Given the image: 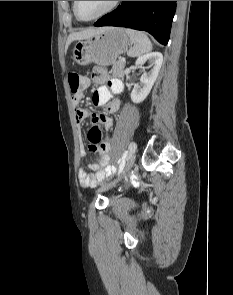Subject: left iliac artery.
<instances>
[{
  "instance_id": "obj_1",
  "label": "left iliac artery",
  "mask_w": 233,
  "mask_h": 295,
  "mask_svg": "<svg viewBox=\"0 0 233 295\" xmlns=\"http://www.w3.org/2000/svg\"><path fill=\"white\" fill-rule=\"evenodd\" d=\"M129 150L131 153L137 150V145H135V142L133 140L129 143Z\"/></svg>"
}]
</instances>
